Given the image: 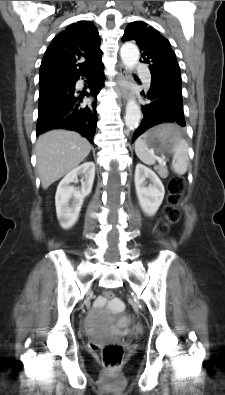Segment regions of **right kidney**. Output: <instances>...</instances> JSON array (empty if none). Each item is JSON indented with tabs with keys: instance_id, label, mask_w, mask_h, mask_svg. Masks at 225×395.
Instances as JSON below:
<instances>
[{
	"instance_id": "right-kidney-1",
	"label": "right kidney",
	"mask_w": 225,
	"mask_h": 395,
	"mask_svg": "<svg viewBox=\"0 0 225 395\" xmlns=\"http://www.w3.org/2000/svg\"><path fill=\"white\" fill-rule=\"evenodd\" d=\"M82 176L81 188L70 184ZM95 177V164L85 162L71 170L59 183L55 195L56 213L59 224L67 229L73 226L80 213L84 198L90 194ZM70 201L72 203L70 204Z\"/></svg>"
}]
</instances>
